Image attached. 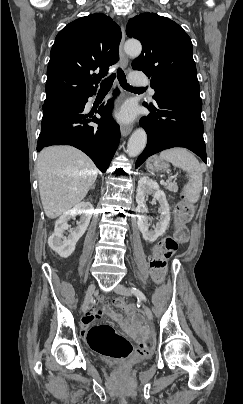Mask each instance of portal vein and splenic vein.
I'll return each instance as SVG.
<instances>
[{"label": "portal vein and splenic vein", "mask_w": 243, "mask_h": 404, "mask_svg": "<svg viewBox=\"0 0 243 404\" xmlns=\"http://www.w3.org/2000/svg\"><path fill=\"white\" fill-rule=\"evenodd\" d=\"M159 185L160 186H166L167 182L164 179H161L160 182H159Z\"/></svg>", "instance_id": "18ae733b"}]
</instances>
